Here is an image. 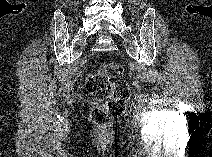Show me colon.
Segmentation results:
<instances>
[{"mask_svg":"<svg viewBox=\"0 0 212 157\" xmlns=\"http://www.w3.org/2000/svg\"><path fill=\"white\" fill-rule=\"evenodd\" d=\"M121 73V66L111 61L87 78L89 93L104 101L91 111L92 121L99 126H107L112 119L119 118L125 111L130 89L125 80L118 78Z\"/></svg>","mask_w":212,"mask_h":157,"instance_id":"1","label":"colon"}]
</instances>
